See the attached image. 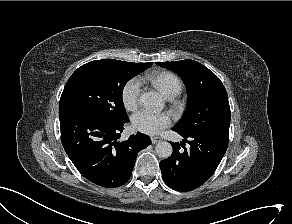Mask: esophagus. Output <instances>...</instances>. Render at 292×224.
Instances as JSON below:
<instances>
[{
	"label": "esophagus",
	"instance_id": "obj_1",
	"mask_svg": "<svg viewBox=\"0 0 292 224\" xmlns=\"http://www.w3.org/2000/svg\"><path fill=\"white\" fill-rule=\"evenodd\" d=\"M151 141H152V144H156V143L161 142L162 139L160 137H157V136H152Z\"/></svg>",
	"mask_w": 292,
	"mask_h": 224
}]
</instances>
